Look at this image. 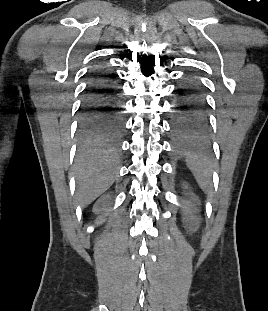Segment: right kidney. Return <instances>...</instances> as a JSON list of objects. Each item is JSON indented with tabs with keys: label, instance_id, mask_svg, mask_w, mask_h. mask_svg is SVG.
Masks as SVG:
<instances>
[{
	"label": "right kidney",
	"instance_id": "right-kidney-1",
	"mask_svg": "<svg viewBox=\"0 0 268 311\" xmlns=\"http://www.w3.org/2000/svg\"><path fill=\"white\" fill-rule=\"evenodd\" d=\"M110 195H103L96 201L93 206V212L99 214L98 220L103 219L110 210L111 200Z\"/></svg>",
	"mask_w": 268,
	"mask_h": 311
}]
</instances>
